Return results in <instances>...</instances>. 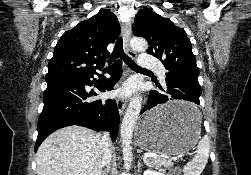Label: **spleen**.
I'll use <instances>...</instances> for the list:
<instances>
[{
  "label": "spleen",
  "instance_id": "obj_1",
  "mask_svg": "<svg viewBox=\"0 0 251 175\" xmlns=\"http://www.w3.org/2000/svg\"><path fill=\"white\" fill-rule=\"evenodd\" d=\"M194 115H201L198 109H195ZM210 139L208 135H203L202 139L198 141L197 153H195L192 161L187 163L184 167L185 175H200L202 173L210 153Z\"/></svg>",
  "mask_w": 251,
  "mask_h": 175
}]
</instances>
